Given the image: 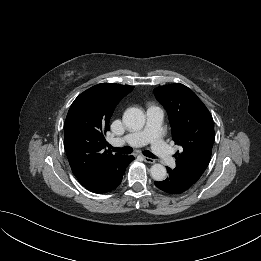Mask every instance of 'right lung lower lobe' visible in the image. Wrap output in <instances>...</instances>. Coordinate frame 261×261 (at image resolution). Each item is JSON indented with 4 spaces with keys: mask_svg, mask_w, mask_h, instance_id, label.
<instances>
[{
    "mask_svg": "<svg viewBox=\"0 0 261 261\" xmlns=\"http://www.w3.org/2000/svg\"><path fill=\"white\" fill-rule=\"evenodd\" d=\"M133 160L134 158L132 156H125L121 166L116 171H114L108 178L96 184L95 186L87 189L98 194L112 191L121 183L126 167Z\"/></svg>",
    "mask_w": 261,
    "mask_h": 261,
    "instance_id": "obj_1",
    "label": "right lung lower lobe"
}]
</instances>
